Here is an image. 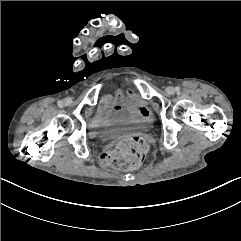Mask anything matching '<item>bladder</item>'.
<instances>
[{"mask_svg":"<svg viewBox=\"0 0 241 241\" xmlns=\"http://www.w3.org/2000/svg\"><path fill=\"white\" fill-rule=\"evenodd\" d=\"M103 118L111 126L131 124L135 121V109L129 98L123 94H117L111 105L104 111Z\"/></svg>","mask_w":241,"mask_h":241,"instance_id":"obj_1","label":"bladder"}]
</instances>
